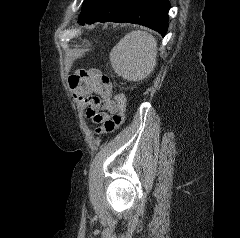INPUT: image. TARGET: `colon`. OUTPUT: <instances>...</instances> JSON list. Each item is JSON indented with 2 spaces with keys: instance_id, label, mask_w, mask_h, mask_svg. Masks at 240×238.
Wrapping results in <instances>:
<instances>
[{
  "instance_id": "1",
  "label": "colon",
  "mask_w": 240,
  "mask_h": 238,
  "mask_svg": "<svg viewBox=\"0 0 240 238\" xmlns=\"http://www.w3.org/2000/svg\"><path fill=\"white\" fill-rule=\"evenodd\" d=\"M98 78L107 90H109L110 92H114V87L110 81V78L107 75L100 73L98 75ZM115 102L118 105V112L112 117L106 119L103 122L102 126L96 129L97 134L112 133L124 122L126 115V98L124 94L121 92H115Z\"/></svg>"
}]
</instances>
